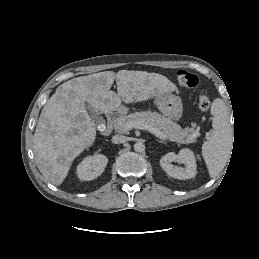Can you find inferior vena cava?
<instances>
[{
	"instance_id": "602c4592",
	"label": "inferior vena cava",
	"mask_w": 259,
	"mask_h": 259,
	"mask_svg": "<svg viewBox=\"0 0 259 259\" xmlns=\"http://www.w3.org/2000/svg\"><path fill=\"white\" fill-rule=\"evenodd\" d=\"M112 142L115 144H121L127 142V137L123 135H115L112 137Z\"/></svg>"
}]
</instances>
